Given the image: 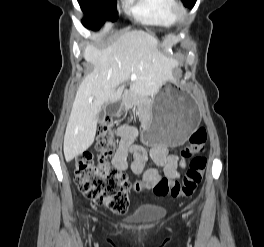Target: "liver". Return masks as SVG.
I'll return each instance as SVG.
<instances>
[{"label":"liver","instance_id":"obj_1","mask_svg":"<svg viewBox=\"0 0 264 247\" xmlns=\"http://www.w3.org/2000/svg\"><path fill=\"white\" fill-rule=\"evenodd\" d=\"M83 57L92 64L93 71L79 85L73 102L64 135L67 162L92 145L103 105L121 98L123 83L132 74L136 75L132 93L152 96L171 80L174 67V61L158 49V40L141 30L121 35L102 50L89 44Z\"/></svg>","mask_w":264,"mask_h":247}]
</instances>
